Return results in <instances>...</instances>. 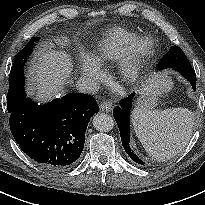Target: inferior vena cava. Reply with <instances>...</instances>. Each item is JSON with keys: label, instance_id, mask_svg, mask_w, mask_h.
<instances>
[{"label": "inferior vena cava", "instance_id": "602c4592", "mask_svg": "<svg viewBox=\"0 0 205 205\" xmlns=\"http://www.w3.org/2000/svg\"><path fill=\"white\" fill-rule=\"evenodd\" d=\"M76 89L82 93H95L99 89V85L92 79L81 78L76 82Z\"/></svg>", "mask_w": 205, "mask_h": 205}]
</instances>
